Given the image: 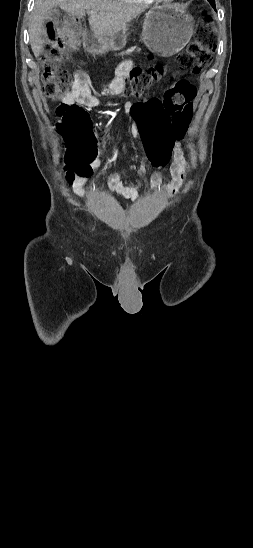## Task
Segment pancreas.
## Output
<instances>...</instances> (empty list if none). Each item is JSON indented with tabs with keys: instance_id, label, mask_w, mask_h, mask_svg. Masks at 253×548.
<instances>
[{
	"instance_id": "obj_1",
	"label": "pancreas",
	"mask_w": 253,
	"mask_h": 548,
	"mask_svg": "<svg viewBox=\"0 0 253 548\" xmlns=\"http://www.w3.org/2000/svg\"><path fill=\"white\" fill-rule=\"evenodd\" d=\"M135 50V48H131V49H128L126 52H122L121 55H124V54H129L131 52H133Z\"/></svg>"
}]
</instances>
